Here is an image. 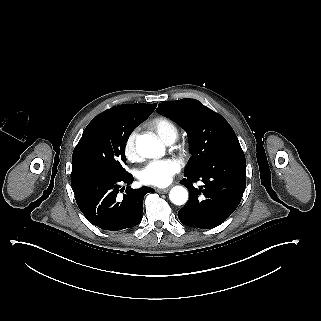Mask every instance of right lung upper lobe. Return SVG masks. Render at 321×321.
<instances>
[{
  "instance_id": "right-lung-upper-lobe-1",
  "label": "right lung upper lobe",
  "mask_w": 321,
  "mask_h": 321,
  "mask_svg": "<svg viewBox=\"0 0 321 321\" xmlns=\"http://www.w3.org/2000/svg\"><path fill=\"white\" fill-rule=\"evenodd\" d=\"M157 104H125L112 107L102 114L118 123L139 125L154 111Z\"/></svg>"
}]
</instances>
